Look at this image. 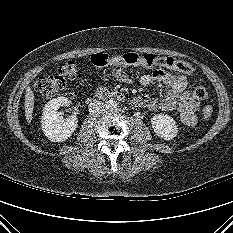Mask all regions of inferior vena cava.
Returning a JSON list of instances; mask_svg holds the SVG:
<instances>
[{
	"label": "inferior vena cava",
	"mask_w": 233,
	"mask_h": 233,
	"mask_svg": "<svg viewBox=\"0 0 233 233\" xmlns=\"http://www.w3.org/2000/svg\"><path fill=\"white\" fill-rule=\"evenodd\" d=\"M105 110H106V104L99 101H95L93 103H90L89 105V112L94 116H99L103 114Z\"/></svg>",
	"instance_id": "obj_1"
}]
</instances>
